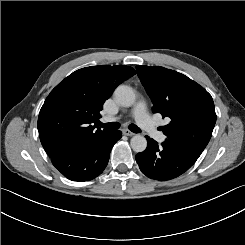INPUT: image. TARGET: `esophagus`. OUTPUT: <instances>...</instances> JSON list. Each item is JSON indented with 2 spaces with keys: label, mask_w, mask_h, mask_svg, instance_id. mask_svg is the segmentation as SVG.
Instances as JSON below:
<instances>
[{
  "label": "esophagus",
  "mask_w": 245,
  "mask_h": 245,
  "mask_svg": "<svg viewBox=\"0 0 245 245\" xmlns=\"http://www.w3.org/2000/svg\"><path fill=\"white\" fill-rule=\"evenodd\" d=\"M122 133H123L124 135H126V136H133V135H134V133L131 132V131L128 130V129H122Z\"/></svg>",
  "instance_id": "obj_1"
}]
</instances>
